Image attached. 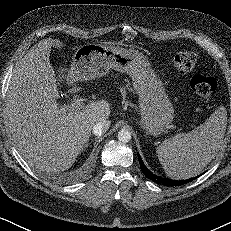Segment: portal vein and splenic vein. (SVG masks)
Segmentation results:
<instances>
[{
  "instance_id": "portal-vein-and-splenic-vein-1",
  "label": "portal vein and splenic vein",
  "mask_w": 231,
  "mask_h": 231,
  "mask_svg": "<svg viewBox=\"0 0 231 231\" xmlns=\"http://www.w3.org/2000/svg\"><path fill=\"white\" fill-rule=\"evenodd\" d=\"M84 107L85 104L81 100H76L74 103L67 106L69 110H82Z\"/></svg>"
}]
</instances>
